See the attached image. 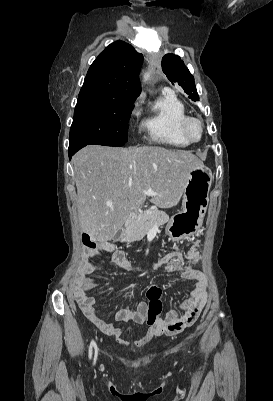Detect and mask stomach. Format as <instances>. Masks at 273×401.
I'll list each match as a JSON object with an SVG mask.
<instances>
[{
    "label": "stomach",
    "instance_id": "obj_1",
    "mask_svg": "<svg viewBox=\"0 0 273 401\" xmlns=\"http://www.w3.org/2000/svg\"><path fill=\"white\" fill-rule=\"evenodd\" d=\"M213 174L205 164L188 170V180L182 196V211L173 215L166 225V235L172 241L189 239L198 233L209 205V190Z\"/></svg>",
    "mask_w": 273,
    "mask_h": 401
}]
</instances>
